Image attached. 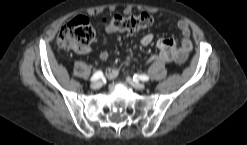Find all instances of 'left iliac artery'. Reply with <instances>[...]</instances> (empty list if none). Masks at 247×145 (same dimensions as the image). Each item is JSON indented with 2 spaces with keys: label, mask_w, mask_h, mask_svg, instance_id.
<instances>
[{
  "label": "left iliac artery",
  "mask_w": 247,
  "mask_h": 145,
  "mask_svg": "<svg viewBox=\"0 0 247 145\" xmlns=\"http://www.w3.org/2000/svg\"><path fill=\"white\" fill-rule=\"evenodd\" d=\"M140 79L142 81H148L149 80V76L145 75V74H142V75H134L133 79L136 80V79Z\"/></svg>",
  "instance_id": "left-iliac-artery-1"
}]
</instances>
